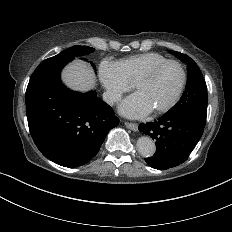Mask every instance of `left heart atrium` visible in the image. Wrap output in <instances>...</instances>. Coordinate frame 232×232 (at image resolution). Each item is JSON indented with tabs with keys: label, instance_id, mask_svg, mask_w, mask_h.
<instances>
[{
	"label": "left heart atrium",
	"instance_id": "left-heart-atrium-1",
	"mask_svg": "<svg viewBox=\"0 0 232 232\" xmlns=\"http://www.w3.org/2000/svg\"><path fill=\"white\" fill-rule=\"evenodd\" d=\"M153 109L143 99L139 92H134L124 99L118 107V112L128 118H141L149 115Z\"/></svg>",
	"mask_w": 232,
	"mask_h": 232
}]
</instances>
